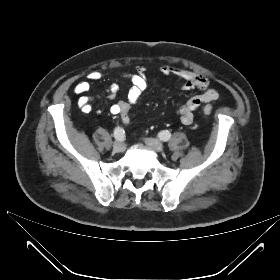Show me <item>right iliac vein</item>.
Returning <instances> with one entry per match:
<instances>
[{
  "instance_id": "63e3f726",
  "label": "right iliac vein",
  "mask_w": 280,
  "mask_h": 280,
  "mask_svg": "<svg viewBox=\"0 0 280 280\" xmlns=\"http://www.w3.org/2000/svg\"><path fill=\"white\" fill-rule=\"evenodd\" d=\"M113 150L117 153H121L125 150V144L121 141H116L113 145Z\"/></svg>"
}]
</instances>
